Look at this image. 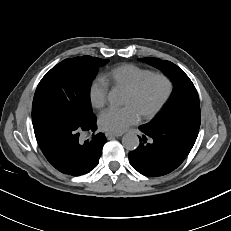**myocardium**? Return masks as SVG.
<instances>
[{"label":"myocardium","instance_id":"myocardium-1","mask_svg":"<svg viewBox=\"0 0 231 231\" xmlns=\"http://www.w3.org/2000/svg\"><path fill=\"white\" fill-rule=\"evenodd\" d=\"M162 78L166 81L167 83V91L164 95V97L162 98V100L157 104V106H155L152 110H150L149 112L143 114L140 116V118L142 120H149L151 118H153L158 112H160V110L166 105V103L168 102V100L170 99L172 93H173V89H174V84L172 79L165 73L162 72H152L148 75H146L145 77H143L142 79H140L136 84H134L131 88H129L127 90L128 93L135 95L137 94L142 88L143 86L152 78Z\"/></svg>","mask_w":231,"mask_h":231}]
</instances>
